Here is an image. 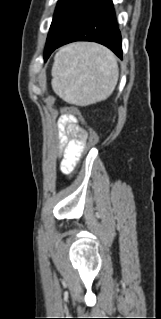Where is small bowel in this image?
<instances>
[{
	"label": "small bowel",
	"mask_w": 161,
	"mask_h": 319,
	"mask_svg": "<svg viewBox=\"0 0 161 319\" xmlns=\"http://www.w3.org/2000/svg\"><path fill=\"white\" fill-rule=\"evenodd\" d=\"M59 145L62 149L60 169L70 174L77 163L85 144V131L77 118L70 113H63L58 119Z\"/></svg>",
	"instance_id": "c3829d8e"
}]
</instances>
